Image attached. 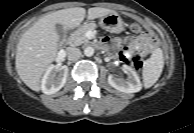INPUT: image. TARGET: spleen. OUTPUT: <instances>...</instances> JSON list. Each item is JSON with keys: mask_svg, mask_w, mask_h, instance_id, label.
<instances>
[{"mask_svg": "<svg viewBox=\"0 0 194 133\" xmlns=\"http://www.w3.org/2000/svg\"><path fill=\"white\" fill-rule=\"evenodd\" d=\"M164 67L163 52L157 48L151 57L144 63L143 84L145 88H150L159 79Z\"/></svg>", "mask_w": 194, "mask_h": 133, "instance_id": "spleen-1", "label": "spleen"}]
</instances>
